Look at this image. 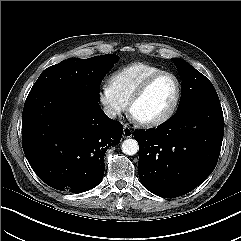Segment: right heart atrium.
Returning a JSON list of instances; mask_svg holds the SVG:
<instances>
[{
    "mask_svg": "<svg viewBox=\"0 0 241 241\" xmlns=\"http://www.w3.org/2000/svg\"><path fill=\"white\" fill-rule=\"evenodd\" d=\"M99 101L105 113L116 118L122 115L128 107V103L117 93L110 83H104L98 91Z\"/></svg>",
    "mask_w": 241,
    "mask_h": 241,
    "instance_id": "right-heart-atrium-1",
    "label": "right heart atrium"
}]
</instances>
